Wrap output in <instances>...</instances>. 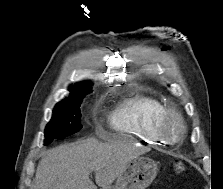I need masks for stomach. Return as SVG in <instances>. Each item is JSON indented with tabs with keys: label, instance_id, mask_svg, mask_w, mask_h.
<instances>
[{
	"label": "stomach",
	"instance_id": "1",
	"mask_svg": "<svg viewBox=\"0 0 223 189\" xmlns=\"http://www.w3.org/2000/svg\"><path fill=\"white\" fill-rule=\"evenodd\" d=\"M157 172L158 167L153 160L137 157L127 164L115 184L107 189H145L154 180Z\"/></svg>",
	"mask_w": 223,
	"mask_h": 189
}]
</instances>
